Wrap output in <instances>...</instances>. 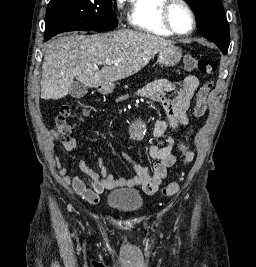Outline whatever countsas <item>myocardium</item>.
Returning <instances> with one entry per match:
<instances>
[{
    "label": "myocardium",
    "mask_w": 256,
    "mask_h": 267,
    "mask_svg": "<svg viewBox=\"0 0 256 267\" xmlns=\"http://www.w3.org/2000/svg\"><path fill=\"white\" fill-rule=\"evenodd\" d=\"M179 4L180 6H182L184 9H186L190 15L191 18V28L188 32L186 33H181L179 31L176 30V28L174 27L173 23L171 22L170 16H169V12L171 9L172 4ZM161 19L163 24L165 25V27L170 30L174 35L179 36V37H187L190 36L195 28H196V17L194 12L192 11V9L186 4L185 1L183 0H170V3H166L164 5V8L162 10L161 13Z\"/></svg>",
    "instance_id": "1"
}]
</instances>
